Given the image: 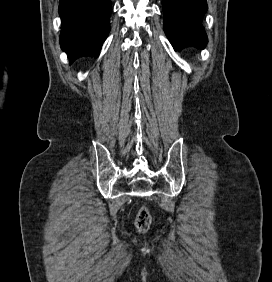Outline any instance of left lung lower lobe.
Returning <instances> with one entry per match:
<instances>
[{"label": "left lung lower lobe", "mask_w": 272, "mask_h": 282, "mask_svg": "<svg viewBox=\"0 0 272 282\" xmlns=\"http://www.w3.org/2000/svg\"><path fill=\"white\" fill-rule=\"evenodd\" d=\"M164 31L175 50L195 45L204 48L207 37L202 18L206 0H162Z\"/></svg>", "instance_id": "left-lung-lower-lobe-1"}]
</instances>
